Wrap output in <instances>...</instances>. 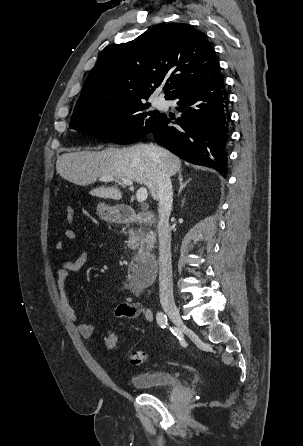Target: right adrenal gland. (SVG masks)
Listing matches in <instances>:
<instances>
[{"mask_svg":"<svg viewBox=\"0 0 303 446\" xmlns=\"http://www.w3.org/2000/svg\"><path fill=\"white\" fill-rule=\"evenodd\" d=\"M178 179H179V190H178V195H180L181 191L183 190V188L191 181V178H189L188 180H186L185 182H183V175H182V171H178Z\"/></svg>","mask_w":303,"mask_h":446,"instance_id":"right-adrenal-gland-1","label":"right adrenal gland"}]
</instances>
